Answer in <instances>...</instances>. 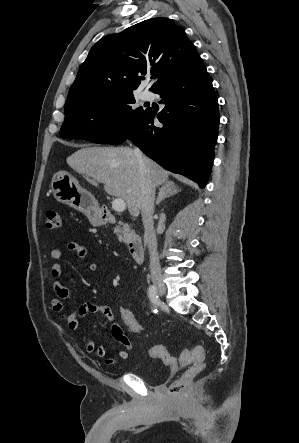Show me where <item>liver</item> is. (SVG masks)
<instances>
[{
  "label": "liver",
  "instance_id": "liver-1",
  "mask_svg": "<svg viewBox=\"0 0 299 443\" xmlns=\"http://www.w3.org/2000/svg\"><path fill=\"white\" fill-rule=\"evenodd\" d=\"M143 159L155 186L167 182L168 171L146 156ZM66 161L79 174L102 183L107 194L123 199L132 216L140 214L139 163L131 148L83 147Z\"/></svg>",
  "mask_w": 299,
  "mask_h": 443
}]
</instances>
